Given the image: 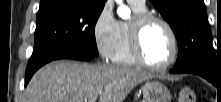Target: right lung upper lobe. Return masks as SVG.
Segmentation results:
<instances>
[{
  "mask_svg": "<svg viewBox=\"0 0 221 102\" xmlns=\"http://www.w3.org/2000/svg\"><path fill=\"white\" fill-rule=\"evenodd\" d=\"M68 1H76V0H41L40 7L49 6L58 2H68ZM89 3L92 6H104L105 0H82Z\"/></svg>",
  "mask_w": 221,
  "mask_h": 102,
  "instance_id": "right-lung-upper-lobe-1",
  "label": "right lung upper lobe"
}]
</instances>
